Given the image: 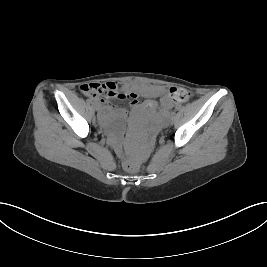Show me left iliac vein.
<instances>
[{"label": "left iliac vein", "instance_id": "obj_1", "mask_svg": "<svg viewBox=\"0 0 267 267\" xmlns=\"http://www.w3.org/2000/svg\"><path fill=\"white\" fill-rule=\"evenodd\" d=\"M171 123V119L167 121V124H170Z\"/></svg>", "mask_w": 267, "mask_h": 267}]
</instances>
